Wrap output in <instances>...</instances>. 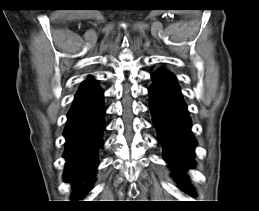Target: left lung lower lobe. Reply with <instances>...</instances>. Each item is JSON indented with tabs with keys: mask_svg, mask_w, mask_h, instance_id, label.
Wrapping results in <instances>:
<instances>
[{
	"mask_svg": "<svg viewBox=\"0 0 259 211\" xmlns=\"http://www.w3.org/2000/svg\"><path fill=\"white\" fill-rule=\"evenodd\" d=\"M149 88L150 109L163 146L165 161L176 172H184L194 163L196 140L191 134L187 105L181 97L175 79L154 74ZM187 187V186H186Z\"/></svg>",
	"mask_w": 259,
	"mask_h": 211,
	"instance_id": "1",
	"label": "left lung lower lobe"
}]
</instances>
